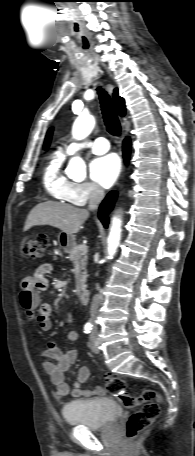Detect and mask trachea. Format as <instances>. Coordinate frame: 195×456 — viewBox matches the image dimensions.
<instances>
[{
	"mask_svg": "<svg viewBox=\"0 0 195 456\" xmlns=\"http://www.w3.org/2000/svg\"><path fill=\"white\" fill-rule=\"evenodd\" d=\"M97 91L99 94L102 114L107 131L111 135L118 137L121 134V126L117 114L115 112L112 100L107 94V92L101 89L100 87L97 88Z\"/></svg>",
	"mask_w": 195,
	"mask_h": 456,
	"instance_id": "1",
	"label": "trachea"
}]
</instances>
